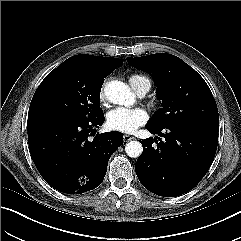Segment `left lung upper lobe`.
Here are the masks:
<instances>
[{
    "instance_id": "left-lung-upper-lobe-1",
    "label": "left lung upper lobe",
    "mask_w": 241,
    "mask_h": 241,
    "mask_svg": "<svg viewBox=\"0 0 241 241\" xmlns=\"http://www.w3.org/2000/svg\"><path fill=\"white\" fill-rule=\"evenodd\" d=\"M137 69L151 73L162 108L147 126L163 128L171 124L201 122L219 125L218 109L204 79L183 60L172 54L127 57Z\"/></svg>"
}]
</instances>
